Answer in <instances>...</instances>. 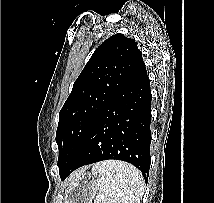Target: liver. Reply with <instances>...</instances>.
Wrapping results in <instances>:
<instances>
[{"label":"liver","mask_w":214,"mask_h":203,"mask_svg":"<svg viewBox=\"0 0 214 203\" xmlns=\"http://www.w3.org/2000/svg\"><path fill=\"white\" fill-rule=\"evenodd\" d=\"M77 176H78L77 172L73 173L72 176H71V178L68 179V182H72L74 180V178L77 177Z\"/></svg>","instance_id":"1"}]
</instances>
